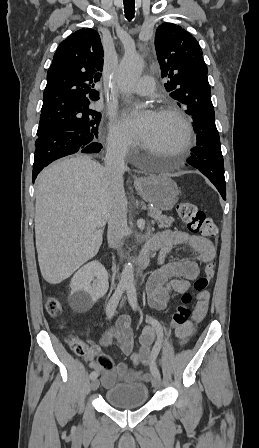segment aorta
<instances>
[{
	"label": "aorta",
	"mask_w": 259,
	"mask_h": 448,
	"mask_svg": "<svg viewBox=\"0 0 259 448\" xmlns=\"http://www.w3.org/2000/svg\"><path fill=\"white\" fill-rule=\"evenodd\" d=\"M143 71V61L136 54L125 55L119 64L117 82L121 91L127 96L140 78ZM121 283L129 294L135 293L134 271L131 263H126L121 274Z\"/></svg>",
	"instance_id": "762f6f07"
}]
</instances>
